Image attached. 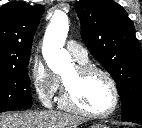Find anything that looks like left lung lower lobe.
<instances>
[{"mask_svg":"<svg viewBox=\"0 0 142 128\" xmlns=\"http://www.w3.org/2000/svg\"><path fill=\"white\" fill-rule=\"evenodd\" d=\"M136 123H138V124H141V125H142V122H136Z\"/></svg>","mask_w":142,"mask_h":128,"instance_id":"0a47b994","label":"left lung lower lobe"}]
</instances>
